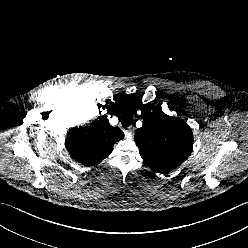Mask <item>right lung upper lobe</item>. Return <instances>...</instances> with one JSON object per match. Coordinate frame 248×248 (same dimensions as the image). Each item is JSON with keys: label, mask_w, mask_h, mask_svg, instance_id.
<instances>
[{"label": "right lung upper lobe", "mask_w": 248, "mask_h": 248, "mask_svg": "<svg viewBox=\"0 0 248 248\" xmlns=\"http://www.w3.org/2000/svg\"><path fill=\"white\" fill-rule=\"evenodd\" d=\"M123 138V131L112 127L104 115L85 127L69 130L65 145L73 159L92 166L108 157L115 142Z\"/></svg>", "instance_id": "1"}]
</instances>
